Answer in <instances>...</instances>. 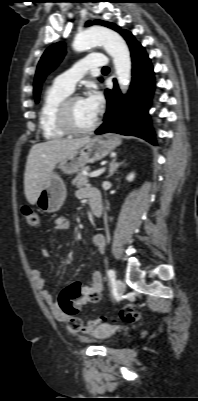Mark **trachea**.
Returning <instances> with one entry per match:
<instances>
[{"mask_svg":"<svg viewBox=\"0 0 198 401\" xmlns=\"http://www.w3.org/2000/svg\"><path fill=\"white\" fill-rule=\"evenodd\" d=\"M103 71H108L109 70V68L108 67H103V69H102Z\"/></svg>","mask_w":198,"mask_h":401,"instance_id":"obj_1","label":"trachea"}]
</instances>
